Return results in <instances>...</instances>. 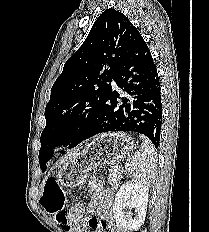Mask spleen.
I'll return each instance as SVG.
<instances>
[{"label": "spleen", "mask_w": 209, "mask_h": 232, "mask_svg": "<svg viewBox=\"0 0 209 232\" xmlns=\"http://www.w3.org/2000/svg\"><path fill=\"white\" fill-rule=\"evenodd\" d=\"M142 145L139 152L127 159V172L145 185L154 182L157 170V153L155 147L145 136L141 135Z\"/></svg>", "instance_id": "spleen-1"}]
</instances>
